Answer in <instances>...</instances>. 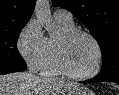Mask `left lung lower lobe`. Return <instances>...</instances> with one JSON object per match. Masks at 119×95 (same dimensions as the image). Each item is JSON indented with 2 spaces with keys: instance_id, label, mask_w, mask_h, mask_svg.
Wrapping results in <instances>:
<instances>
[{
  "instance_id": "obj_1",
  "label": "left lung lower lobe",
  "mask_w": 119,
  "mask_h": 95,
  "mask_svg": "<svg viewBox=\"0 0 119 95\" xmlns=\"http://www.w3.org/2000/svg\"><path fill=\"white\" fill-rule=\"evenodd\" d=\"M94 82H114V83L119 84V77L107 79V78H103L97 75L95 78L87 80L83 83H94Z\"/></svg>"
}]
</instances>
